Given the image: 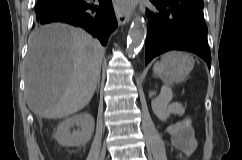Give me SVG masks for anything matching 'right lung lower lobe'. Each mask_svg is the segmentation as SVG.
Returning a JSON list of instances; mask_svg holds the SVG:
<instances>
[{"instance_id": "right-lung-lower-lobe-1", "label": "right lung lower lobe", "mask_w": 242, "mask_h": 160, "mask_svg": "<svg viewBox=\"0 0 242 160\" xmlns=\"http://www.w3.org/2000/svg\"><path fill=\"white\" fill-rule=\"evenodd\" d=\"M38 0L36 21L38 24L63 22L85 29L105 46L108 37L117 27L111 0Z\"/></svg>"}]
</instances>
